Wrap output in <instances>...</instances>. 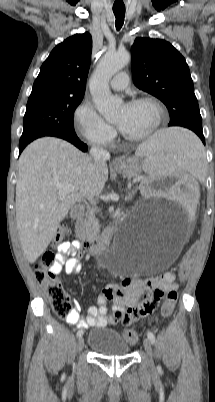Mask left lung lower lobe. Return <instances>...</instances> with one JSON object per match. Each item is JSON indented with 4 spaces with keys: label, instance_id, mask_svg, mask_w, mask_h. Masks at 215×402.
<instances>
[{
    "label": "left lung lower lobe",
    "instance_id": "0a47b994",
    "mask_svg": "<svg viewBox=\"0 0 215 402\" xmlns=\"http://www.w3.org/2000/svg\"><path fill=\"white\" fill-rule=\"evenodd\" d=\"M196 134L201 138L202 142L205 143L203 133H196Z\"/></svg>",
    "mask_w": 215,
    "mask_h": 402
}]
</instances>
